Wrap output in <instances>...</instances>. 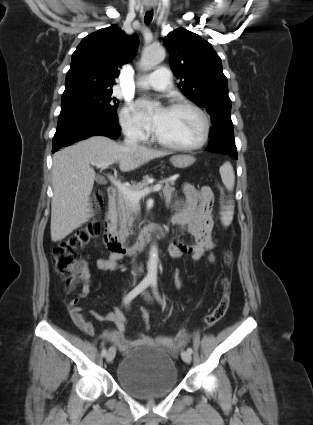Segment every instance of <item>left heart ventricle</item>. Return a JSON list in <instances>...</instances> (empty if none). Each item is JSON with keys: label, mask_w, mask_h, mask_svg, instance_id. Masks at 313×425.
Returning <instances> with one entry per match:
<instances>
[{"label": "left heart ventricle", "mask_w": 313, "mask_h": 425, "mask_svg": "<svg viewBox=\"0 0 313 425\" xmlns=\"http://www.w3.org/2000/svg\"><path fill=\"white\" fill-rule=\"evenodd\" d=\"M202 128V121L195 112L188 109H168L156 134L169 143L192 145L201 138Z\"/></svg>", "instance_id": "b2bd125f"}]
</instances>
